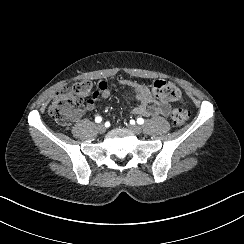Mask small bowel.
Masks as SVG:
<instances>
[{"label":"small bowel","mask_w":244,"mask_h":244,"mask_svg":"<svg viewBox=\"0 0 244 244\" xmlns=\"http://www.w3.org/2000/svg\"><path fill=\"white\" fill-rule=\"evenodd\" d=\"M120 83L131 88V92L127 95H134L137 100V105L132 106L130 111L134 114L141 116H168L171 112V106L165 102L158 100L149 88L136 81L121 78ZM99 98L107 100L111 97L112 88L109 83L102 81L98 85ZM96 102L91 100L87 102L79 111H77L74 117H81L87 112H92L96 109Z\"/></svg>","instance_id":"1"}]
</instances>
